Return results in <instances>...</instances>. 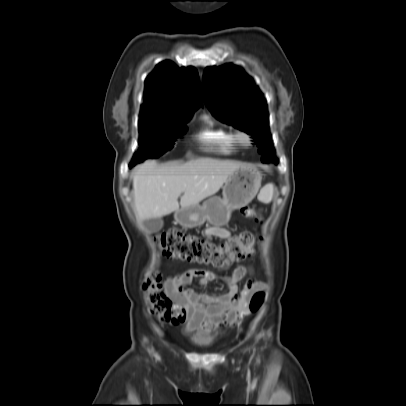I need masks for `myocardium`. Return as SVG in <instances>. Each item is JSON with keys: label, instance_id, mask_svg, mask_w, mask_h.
I'll use <instances>...</instances> for the list:
<instances>
[{"label": "myocardium", "instance_id": "f54148a6", "mask_svg": "<svg viewBox=\"0 0 406 406\" xmlns=\"http://www.w3.org/2000/svg\"><path fill=\"white\" fill-rule=\"evenodd\" d=\"M234 137L236 142L244 147H247L249 145H251L252 143V136L249 132H247L246 130H242L239 129L237 131L234 132Z\"/></svg>", "mask_w": 406, "mask_h": 406}]
</instances>
